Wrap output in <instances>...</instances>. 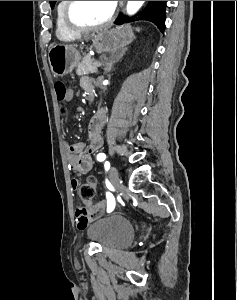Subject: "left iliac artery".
<instances>
[{
  "instance_id": "1",
  "label": "left iliac artery",
  "mask_w": 237,
  "mask_h": 300,
  "mask_svg": "<svg viewBox=\"0 0 237 300\" xmlns=\"http://www.w3.org/2000/svg\"><path fill=\"white\" fill-rule=\"evenodd\" d=\"M106 159V155L104 153H99L97 155V160L98 161H104ZM110 168V163L108 161L105 162V170L108 171ZM106 197H107V211L108 212H112L115 208V199L114 196L107 192L106 193Z\"/></svg>"
}]
</instances>
